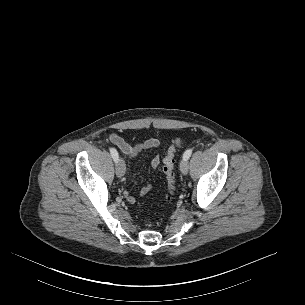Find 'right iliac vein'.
I'll list each match as a JSON object with an SVG mask.
<instances>
[{"label": "right iliac vein", "instance_id": "right-iliac-vein-1", "mask_svg": "<svg viewBox=\"0 0 305 305\" xmlns=\"http://www.w3.org/2000/svg\"><path fill=\"white\" fill-rule=\"evenodd\" d=\"M126 171V167H125V162L123 161V159H118L117 164H116V175L118 177H123Z\"/></svg>", "mask_w": 305, "mask_h": 305}]
</instances>
